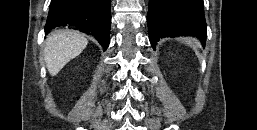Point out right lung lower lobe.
I'll use <instances>...</instances> for the list:
<instances>
[{"instance_id": "right-lung-lower-lobe-1", "label": "right lung lower lobe", "mask_w": 257, "mask_h": 130, "mask_svg": "<svg viewBox=\"0 0 257 130\" xmlns=\"http://www.w3.org/2000/svg\"><path fill=\"white\" fill-rule=\"evenodd\" d=\"M64 26L94 36L106 50L111 26L110 0H52L45 32Z\"/></svg>"}]
</instances>
